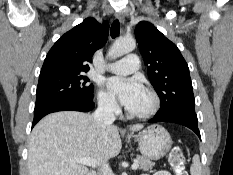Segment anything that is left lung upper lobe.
Wrapping results in <instances>:
<instances>
[{"label": "left lung upper lobe", "instance_id": "5c2ea615", "mask_svg": "<svg viewBox=\"0 0 233 175\" xmlns=\"http://www.w3.org/2000/svg\"><path fill=\"white\" fill-rule=\"evenodd\" d=\"M135 36L150 82L160 97L161 106L157 114L194 110L189 68L177 46L146 21L138 23Z\"/></svg>", "mask_w": 233, "mask_h": 175}]
</instances>
